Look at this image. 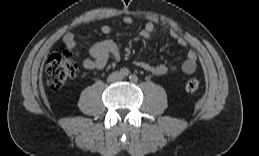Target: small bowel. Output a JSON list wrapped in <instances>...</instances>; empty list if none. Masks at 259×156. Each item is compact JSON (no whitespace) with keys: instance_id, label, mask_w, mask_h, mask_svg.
<instances>
[{"instance_id":"c3829d8e","label":"small bowel","mask_w":259,"mask_h":156,"mask_svg":"<svg viewBox=\"0 0 259 156\" xmlns=\"http://www.w3.org/2000/svg\"><path fill=\"white\" fill-rule=\"evenodd\" d=\"M122 22L125 25L132 26L135 21L130 16H124ZM101 31L104 34H110L113 31L111 25L105 24L101 27ZM167 33L171 38L175 39L180 46H186L187 41L184 37L180 36L175 30L157 31L155 25L152 22H147L144 28L141 30L140 35L149 41L155 40L158 36ZM63 41L67 48L74 51L78 58L81 57L79 51L76 50V38L71 32L64 35ZM120 54L117 45L114 41L107 39L93 45L89 50V57L82 60V64L86 69L101 70L105 68L110 58L119 60ZM137 67L150 72L154 75H164L169 71H174L178 67L176 65L167 64H152L144 61H136L134 63ZM197 67V54L194 50H189L186 59L181 64L180 69L187 74H191Z\"/></svg>"}]
</instances>
